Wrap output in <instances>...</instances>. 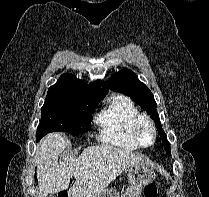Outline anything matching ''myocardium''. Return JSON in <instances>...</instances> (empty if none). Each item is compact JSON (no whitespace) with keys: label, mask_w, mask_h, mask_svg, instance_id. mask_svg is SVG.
Wrapping results in <instances>:
<instances>
[{"label":"myocardium","mask_w":209,"mask_h":197,"mask_svg":"<svg viewBox=\"0 0 209 197\" xmlns=\"http://www.w3.org/2000/svg\"><path fill=\"white\" fill-rule=\"evenodd\" d=\"M144 126H147L150 128L152 132V141L149 144H145L142 140V128ZM133 134L134 138L137 142V144L140 147L148 148L154 145L157 139V130L154 125V122L151 120V118L145 114H139L137 118L135 119L134 126H133Z\"/></svg>","instance_id":"1"}]
</instances>
